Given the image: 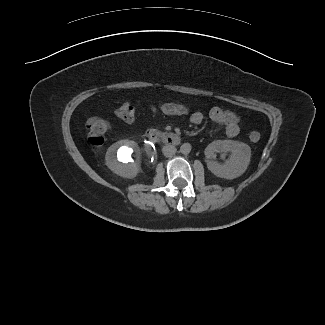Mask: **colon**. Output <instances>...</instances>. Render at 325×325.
I'll use <instances>...</instances> for the list:
<instances>
[{
  "label": "colon",
  "mask_w": 325,
  "mask_h": 325,
  "mask_svg": "<svg viewBox=\"0 0 325 325\" xmlns=\"http://www.w3.org/2000/svg\"><path fill=\"white\" fill-rule=\"evenodd\" d=\"M149 111L155 114H162L171 117L191 116L192 108L186 104L178 102H164L159 104H152L148 107ZM118 118L125 122H132L135 117V108L131 103H122L116 109ZM88 141L92 146H100L103 144L106 135L111 131V124L109 121L100 117H90L86 122ZM252 142L260 140V133L252 131L249 134Z\"/></svg>",
  "instance_id": "obj_1"
}]
</instances>
